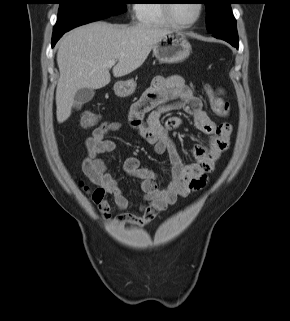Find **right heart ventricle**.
Returning <instances> with one entry per match:
<instances>
[{"mask_svg":"<svg viewBox=\"0 0 290 321\" xmlns=\"http://www.w3.org/2000/svg\"><path fill=\"white\" fill-rule=\"evenodd\" d=\"M164 0H139L134 5L136 22L148 26H169L170 21L163 9Z\"/></svg>","mask_w":290,"mask_h":321,"instance_id":"1","label":"right heart ventricle"}]
</instances>
